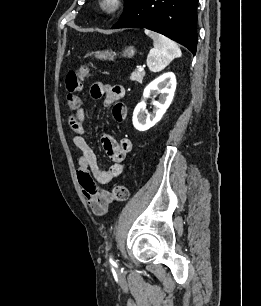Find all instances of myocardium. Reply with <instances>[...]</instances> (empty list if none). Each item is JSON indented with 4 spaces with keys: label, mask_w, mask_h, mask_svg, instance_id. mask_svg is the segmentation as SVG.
<instances>
[{
    "label": "myocardium",
    "mask_w": 261,
    "mask_h": 306,
    "mask_svg": "<svg viewBox=\"0 0 261 306\" xmlns=\"http://www.w3.org/2000/svg\"><path fill=\"white\" fill-rule=\"evenodd\" d=\"M125 0H99L98 6L105 15H114L124 6Z\"/></svg>",
    "instance_id": "f54148a6"
}]
</instances>
